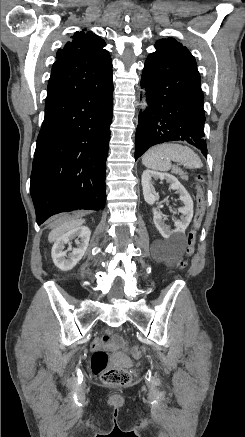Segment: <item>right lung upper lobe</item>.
Wrapping results in <instances>:
<instances>
[{
    "label": "right lung upper lobe",
    "mask_w": 245,
    "mask_h": 437,
    "mask_svg": "<svg viewBox=\"0 0 245 437\" xmlns=\"http://www.w3.org/2000/svg\"><path fill=\"white\" fill-rule=\"evenodd\" d=\"M105 45L103 39L83 29L57 51L45 106L89 93L112 78V60Z\"/></svg>",
    "instance_id": "obj_1"
}]
</instances>
